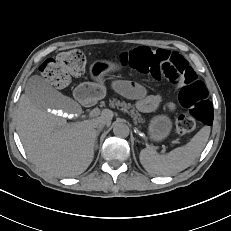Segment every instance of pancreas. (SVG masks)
<instances>
[{
    "label": "pancreas",
    "instance_id": "cf45deb5",
    "mask_svg": "<svg viewBox=\"0 0 231 231\" xmlns=\"http://www.w3.org/2000/svg\"><path fill=\"white\" fill-rule=\"evenodd\" d=\"M109 105L113 108L116 107L117 109L129 113L134 118L136 123H144L141 114L130 103H126L125 101H120L116 98H113L109 101Z\"/></svg>",
    "mask_w": 231,
    "mask_h": 231
}]
</instances>
